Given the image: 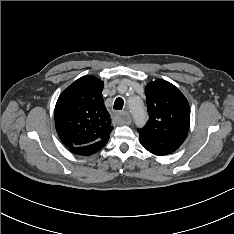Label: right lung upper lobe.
Returning a JSON list of instances; mask_svg holds the SVG:
<instances>
[{"instance_id":"right-lung-upper-lobe-1","label":"right lung upper lobe","mask_w":234,"mask_h":234,"mask_svg":"<svg viewBox=\"0 0 234 234\" xmlns=\"http://www.w3.org/2000/svg\"><path fill=\"white\" fill-rule=\"evenodd\" d=\"M103 82L84 76L67 87L55 106V126L68 148L107 143L113 129L103 96Z\"/></svg>"}]
</instances>
